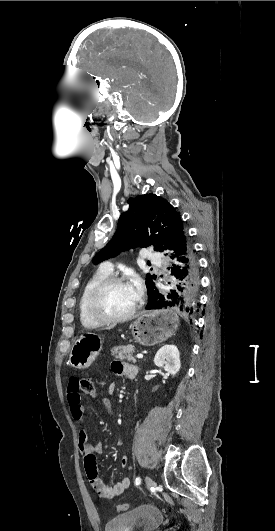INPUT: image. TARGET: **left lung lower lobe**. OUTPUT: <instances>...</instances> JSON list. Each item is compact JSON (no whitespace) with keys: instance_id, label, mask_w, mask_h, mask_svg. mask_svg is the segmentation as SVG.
Returning a JSON list of instances; mask_svg holds the SVG:
<instances>
[{"instance_id":"0a47b994","label":"left lung lower lobe","mask_w":275,"mask_h":531,"mask_svg":"<svg viewBox=\"0 0 275 531\" xmlns=\"http://www.w3.org/2000/svg\"><path fill=\"white\" fill-rule=\"evenodd\" d=\"M172 260L168 268L173 277L166 291H156L148 299L146 309L174 308L191 318L198 308L200 274L198 260L193 245L184 230L183 224L174 232L166 249Z\"/></svg>"}]
</instances>
